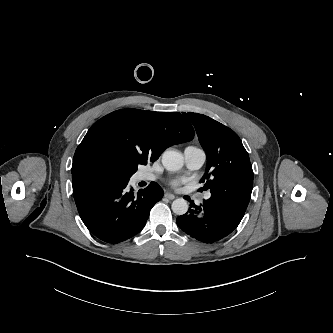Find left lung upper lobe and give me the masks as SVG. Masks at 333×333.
I'll return each instance as SVG.
<instances>
[{
    "label": "left lung upper lobe",
    "mask_w": 333,
    "mask_h": 333,
    "mask_svg": "<svg viewBox=\"0 0 333 333\" xmlns=\"http://www.w3.org/2000/svg\"><path fill=\"white\" fill-rule=\"evenodd\" d=\"M196 129L200 144L207 154V164L199 191L212 192L224 173L250 163L249 155L238 135L214 119L198 114L184 113Z\"/></svg>",
    "instance_id": "obj_1"
}]
</instances>
